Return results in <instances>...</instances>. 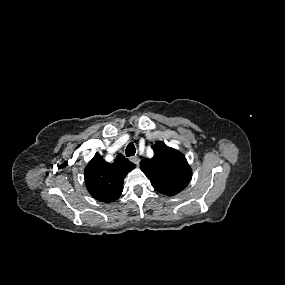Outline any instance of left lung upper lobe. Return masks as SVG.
I'll use <instances>...</instances> for the list:
<instances>
[{
  "label": "left lung upper lobe",
  "instance_id": "obj_1",
  "mask_svg": "<svg viewBox=\"0 0 285 285\" xmlns=\"http://www.w3.org/2000/svg\"><path fill=\"white\" fill-rule=\"evenodd\" d=\"M154 157L143 159L140 168L160 193L172 196L181 192L190 182L191 169L185 156L163 142L152 146Z\"/></svg>",
  "mask_w": 285,
  "mask_h": 285
}]
</instances>
